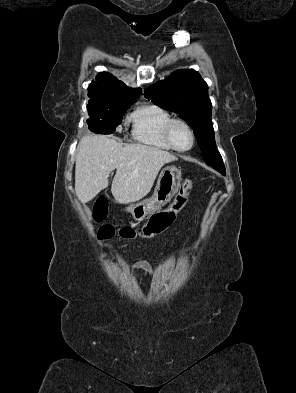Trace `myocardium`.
Instances as JSON below:
<instances>
[{"instance_id": "obj_1", "label": "myocardium", "mask_w": 296, "mask_h": 393, "mask_svg": "<svg viewBox=\"0 0 296 393\" xmlns=\"http://www.w3.org/2000/svg\"><path fill=\"white\" fill-rule=\"evenodd\" d=\"M178 123L183 124L189 130V132L191 134L192 142L188 148H185V149L179 148L175 145V143L173 141L172 130H173V127ZM165 138H166L168 144L174 150H176L178 152H187V151L191 150L194 147L195 142H196V135H195L194 129L192 128V126L190 125V123L188 121H186L185 119H182V118H172L167 123L166 128H165Z\"/></svg>"}]
</instances>
